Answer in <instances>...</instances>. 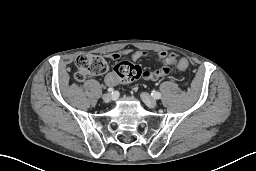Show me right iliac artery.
<instances>
[{
	"label": "right iliac artery",
	"instance_id": "1",
	"mask_svg": "<svg viewBox=\"0 0 256 171\" xmlns=\"http://www.w3.org/2000/svg\"><path fill=\"white\" fill-rule=\"evenodd\" d=\"M107 91H108V92H113V88H112V87H109V88L107 89Z\"/></svg>",
	"mask_w": 256,
	"mask_h": 171
}]
</instances>
